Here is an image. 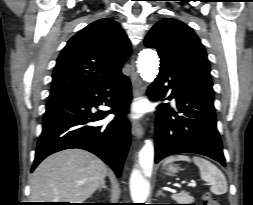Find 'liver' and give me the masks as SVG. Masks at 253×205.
<instances>
[{"mask_svg": "<svg viewBox=\"0 0 253 205\" xmlns=\"http://www.w3.org/2000/svg\"><path fill=\"white\" fill-rule=\"evenodd\" d=\"M105 163L81 149H68L47 157L33 172V202L82 203L103 183Z\"/></svg>", "mask_w": 253, "mask_h": 205, "instance_id": "liver-1", "label": "liver"}]
</instances>
